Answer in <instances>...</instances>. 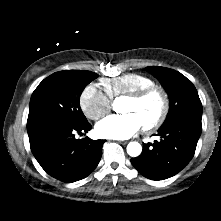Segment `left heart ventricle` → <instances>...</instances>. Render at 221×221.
<instances>
[{"instance_id": "obj_1", "label": "left heart ventricle", "mask_w": 221, "mask_h": 221, "mask_svg": "<svg viewBox=\"0 0 221 221\" xmlns=\"http://www.w3.org/2000/svg\"><path fill=\"white\" fill-rule=\"evenodd\" d=\"M160 109L161 101L157 95H152L140 102L125 99L121 107L122 113L135 114L141 120L142 124L154 120L159 114Z\"/></svg>"}]
</instances>
